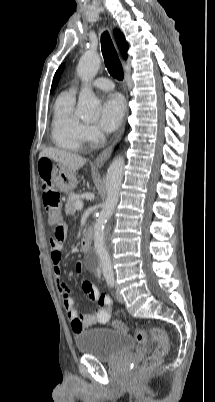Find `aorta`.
Returning <instances> with one entry per match:
<instances>
[{"instance_id":"obj_1","label":"aorta","mask_w":215,"mask_h":402,"mask_svg":"<svg viewBox=\"0 0 215 402\" xmlns=\"http://www.w3.org/2000/svg\"><path fill=\"white\" fill-rule=\"evenodd\" d=\"M101 65L98 54L85 53L79 60L77 74L86 86L81 90L78 98L76 114L83 120L93 121L100 115V100L96 97L87 83L97 74ZM124 158L119 156L110 164L106 174L107 197L97 219L94 229L95 247L91 262L99 264L106 279L113 278V267L109 250L108 236L105 230V223L112 216L119 200L120 187L124 176Z\"/></svg>"}]
</instances>
